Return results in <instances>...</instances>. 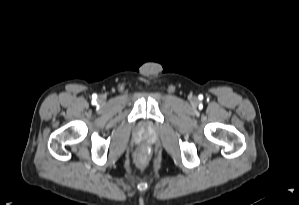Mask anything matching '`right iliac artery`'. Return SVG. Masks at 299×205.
Here are the masks:
<instances>
[{
    "label": "right iliac artery",
    "mask_w": 299,
    "mask_h": 205,
    "mask_svg": "<svg viewBox=\"0 0 299 205\" xmlns=\"http://www.w3.org/2000/svg\"><path fill=\"white\" fill-rule=\"evenodd\" d=\"M93 98L95 99V98H96V95H94Z\"/></svg>",
    "instance_id": "obj_1"
}]
</instances>
